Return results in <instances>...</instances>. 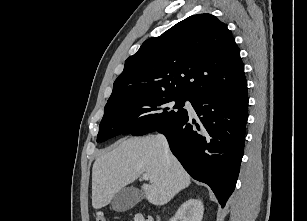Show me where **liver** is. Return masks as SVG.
Returning a JSON list of instances; mask_svg holds the SVG:
<instances>
[{
  "label": "liver",
  "instance_id": "liver-1",
  "mask_svg": "<svg viewBox=\"0 0 307 221\" xmlns=\"http://www.w3.org/2000/svg\"><path fill=\"white\" fill-rule=\"evenodd\" d=\"M146 173L155 180L143 184L142 190L157 206L168 203L191 183L189 174L157 136L125 139L100 154L93 164V208L108 205L122 188Z\"/></svg>",
  "mask_w": 307,
  "mask_h": 221
}]
</instances>
